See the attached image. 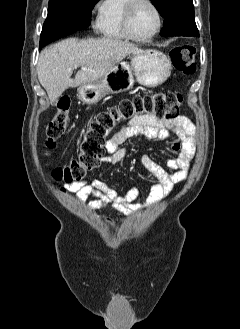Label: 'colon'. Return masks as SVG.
<instances>
[{
  "mask_svg": "<svg viewBox=\"0 0 240 329\" xmlns=\"http://www.w3.org/2000/svg\"><path fill=\"white\" fill-rule=\"evenodd\" d=\"M170 60L175 70L193 74L196 70V49L192 45L174 47ZM182 96L176 91L135 96L122 100L118 105L100 112L85 131L78 145L77 156L68 164L53 170V178L58 182L72 183L81 180L88 171L97 167L104 154L107 135L120 122L138 116H155L159 119H175L179 116ZM70 100L60 99L57 113L47 126L46 147L54 148L63 136L69 122Z\"/></svg>",
  "mask_w": 240,
  "mask_h": 329,
  "instance_id": "1",
  "label": "colon"
}]
</instances>
